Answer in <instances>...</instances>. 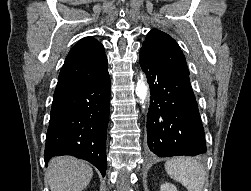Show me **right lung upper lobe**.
Listing matches in <instances>:
<instances>
[{
	"label": "right lung upper lobe",
	"instance_id": "cb5924a9",
	"mask_svg": "<svg viewBox=\"0 0 251 191\" xmlns=\"http://www.w3.org/2000/svg\"><path fill=\"white\" fill-rule=\"evenodd\" d=\"M107 75L108 63L103 45L93 37H85L68 53L54 97L88 86Z\"/></svg>",
	"mask_w": 251,
	"mask_h": 191
}]
</instances>
